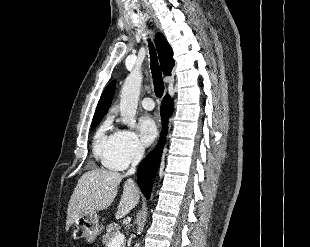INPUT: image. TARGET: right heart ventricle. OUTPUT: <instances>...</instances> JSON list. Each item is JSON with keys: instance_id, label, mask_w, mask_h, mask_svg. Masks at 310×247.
I'll use <instances>...</instances> for the list:
<instances>
[{"instance_id": "right-heart-ventricle-1", "label": "right heart ventricle", "mask_w": 310, "mask_h": 247, "mask_svg": "<svg viewBox=\"0 0 310 247\" xmlns=\"http://www.w3.org/2000/svg\"><path fill=\"white\" fill-rule=\"evenodd\" d=\"M116 133L113 131L112 120L107 118L96 131L93 138L94 156L105 166L115 169L107 163L110 156Z\"/></svg>"}]
</instances>
